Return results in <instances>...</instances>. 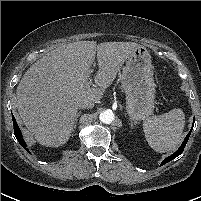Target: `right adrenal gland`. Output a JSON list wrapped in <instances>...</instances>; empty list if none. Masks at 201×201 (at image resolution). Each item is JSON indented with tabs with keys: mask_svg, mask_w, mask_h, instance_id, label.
<instances>
[{
	"mask_svg": "<svg viewBox=\"0 0 201 201\" xmlns=\"http://www.w3.org/2000/svg\"><path fill=\"white\" fill-rule=\"evenodd\" d=\"M81 112L79 111L77 114H76V117H75V120H74V126H73V130L76 129V124H77V121H78V117L80 116Z\"/></svg>",
	"mask_w": 201,
	"mask_h": 201,
	"instance_id": "1",
	"label": "right adrenal gland"
}]
</instances>
